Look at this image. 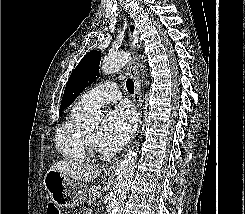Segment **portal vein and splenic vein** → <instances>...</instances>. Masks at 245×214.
<instances>
[{
    "label": "portal vein and splenic vein",
    "instance_id": "1",
    "mask_svg": "<svg viewBox=\"0 0 245 214\" xmlns=\"http://www.w3.org/2000/svg\"><path fill=\"white\" fill-rule=\"evenodd\" d=\"M97 197H98V198L101 197V193H98V194H97Z\"/></svg>",
    "mask_w": 245,
    "mask_h": 214
}]
</instances>
